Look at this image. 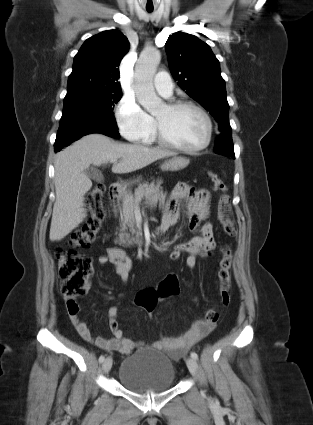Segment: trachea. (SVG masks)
Instances as JSON below:
<instances>
[{
	"label": "trachea",
	"instance_id": "3493384b",
	"mask_svg": "<svg viewBox=\"0 0 313 425\" xmlns=\"http://www.w3.org/2000/svg\"><path fill=\"white\" fill-rule=\"evenodd\" d=\"M147 11H148V12H152V11H153V9H148V8H147Z\"/></svg>",
	"mask_w": 313,
	"mask_h": 425
}]
</instances>
